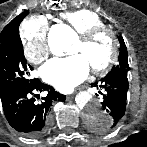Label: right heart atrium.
I'll return each mask as SVG.
<instances>
[{
	"label": "right heart atrium",
	"mask_w": 147,
	"mask_h": 147,
	"mask_svg": "<svg viewBox=\"0 0 147 147\" xmlns=\"http://www.w3.org/2000/svg\"><path fill=\"white\" fill-rule=\"evenodd\" d=\"M48 30L49 25L44 17H32L23 23L21 32L23 50L29 61L40 63L48 56L46 41Z\"/></svg>",
	"instance_id": "obj_1"
}]
</instances>
